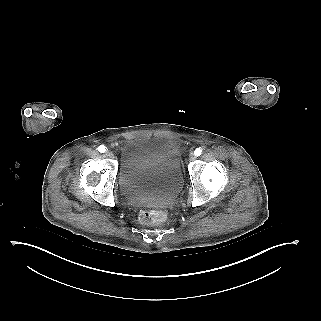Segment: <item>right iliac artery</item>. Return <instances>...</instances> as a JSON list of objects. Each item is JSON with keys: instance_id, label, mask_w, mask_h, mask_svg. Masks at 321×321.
I'll return each instance as SVG.
<instances>
[{"instance_id": "obj_1", "label": "right iliac artery", "mask_w": 321, "mask_h": 321, "mask_svg": "<svg viewBox=\"0 0 321 321\" xmlns=\"http://www.w3.org/2000/svg\"><path fill=\"white\" fill-rule=\"evenodd\" d=\"M98 150H99V152L103 153V152L106 151V147H105L104 145H100V146L98 147Z\"/></svg>"}]
</instances>
